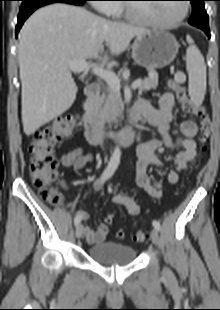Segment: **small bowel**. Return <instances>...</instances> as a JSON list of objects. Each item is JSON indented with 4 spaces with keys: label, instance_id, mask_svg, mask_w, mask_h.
I'll return each mask as SVG.
<instances>
[{
    "label": "small bowel",
    "instance_id": "c3829d8e",
    "mask_svg": "<svg viewBox=\"0 0 220 310\" xmlns=\"http://www.w3.org/2000/svg\"><path fill=\"white\" fill-rule=\"evenodd\" d=\"M133 109L149 124L156 126L161 136V140H152L138 147V162L136 165L137 185L144 189L151 197L158 199L162 196L164 187L160 182L152 183L147 173L148 166H163L156 156V151L161 147L180 148L181 151L175 157V168L168 173V182L170 184H177L181 173L186 170L188 164L196 156L194 137L198 131L197 124L192 120H184L180 124L181 135L177 138H173L170 135V124L174 118V96L170 92L162 95L158 101L157 108L150 100L143 99L137 101ZM92 161V154H84L81 148H75L60 157V162L63 166L74 169H80ZM93 186L95 190L100 191L104 186V182L97 177L93 180ZM111 200L114 204L124 207L132 216H136L140 212L137 201L125 193H114ZM76 215H79L81 220L88 218V214L85 211H78ZM83 234L88 243L100 244L106 239L108 226L105 223H101L96 230L89 226H83Z\"/></svg>",
    "mask_w": 220,
    "mask_h": 310
}]
</instances>
